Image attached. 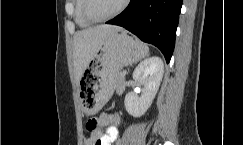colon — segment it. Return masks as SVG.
<instances>
[{
  "instance_id": "5ec220e1",
  "label": "colon",
  "mask_w": 243,
  "mask_h": 145,
  "mask_svg": "<svg viewBox=\"0 0 243 145\" xmlns=\"http://www.w3.org/2000/svg\"><path fill=\"white\" fill-rule=\"evenodd\" d=\"M97 120L96 119H90L87 124L86 127L88 129V131L92 132L93 130H95L97 128Z\"/></svg>"
}]
</instances>
